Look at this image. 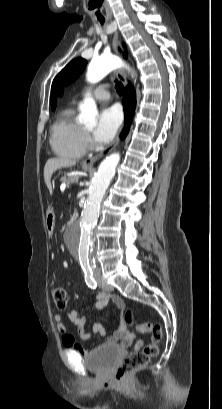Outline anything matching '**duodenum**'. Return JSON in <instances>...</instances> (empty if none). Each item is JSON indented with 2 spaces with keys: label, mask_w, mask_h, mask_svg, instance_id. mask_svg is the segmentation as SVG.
<instances>
[{
  "label": "duodenum",
  "mask_w": 222,
  "mask_h": 409,
  "mask_svg": "<svg viewBox=\"0 0 222 409\" xmlns=\"http://www.w3.org/2000/svg\"><path fill=\"white\" fill-rule=\"evenodd\" d=\"M77 219H78V213H77V212H74V213L72 214L70 220H71L72 222H75V221H77Z\"/></svg>",
  "instance_id": "obj_1"
}]
</instances>
